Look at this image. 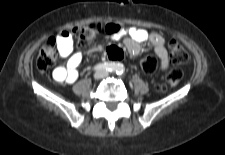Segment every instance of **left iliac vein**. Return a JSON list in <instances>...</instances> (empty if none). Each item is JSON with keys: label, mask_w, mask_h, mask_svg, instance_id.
I'll return each instance as SVG.
<instances>
[{"label": "left iliac vein", "mask_w": 225, "mask_h": 155, "mask_svg": "<svg viewBox=\"0 0 225 155\" xmlns=\"http://www.w3.org/2000/svg\"><path fill=\"white\" fill-rule=\"evenodd\" d=\"M108 75V73L107 72H104V76H107Z\"/></svg>", "instance_id": "1"}]
</instances>
